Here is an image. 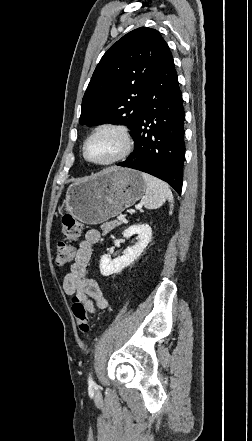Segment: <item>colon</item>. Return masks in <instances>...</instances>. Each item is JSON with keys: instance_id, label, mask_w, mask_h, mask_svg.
Listing matches in <instances>:
<instances>
[{"instance_id": "colon-1", "label": "colon", "mask_w": 252, "mask_h": 441, "mask_svg": "<svg viewBox=\"0 0 252 441\" xmlns=\"http://www.w3.org/2000/svg\"><path fill=\"white\" fill-rule=\"evenodd\" d=\"M62 233L67 241H74L79 238L82 227L72 216L65 215L62 219ZM74 256L73 247L65 241L58 242L56 246L55 262L62 267L67 265ZM72 312L76 318L79 330L83 334H87L90 329V318L87 308L78 296H74L72 300Z\"/></svg>"}]
</instances>
